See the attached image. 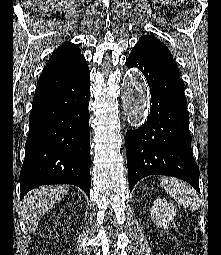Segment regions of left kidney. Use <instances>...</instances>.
Segmentation results:
<instances>
[{
    "label": "left kidney",
    "mask_w": 221,
    "mask_h": 255,
    "mask_svg": "<svg viewBox=\"0 0 221 255\" xmlns=\"http://www.w3.org/2000/svg\"><path fill=\"white\" fill-rule=\"evenodd\" d=\"M177 208L166 200L157 198L153 202L150 214L154 222L164 229L168 228L170 222L174 219Z\"/></svg>",
    "instance_id": "left-kidney-1"
}]
</instances>
